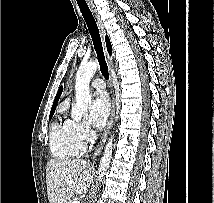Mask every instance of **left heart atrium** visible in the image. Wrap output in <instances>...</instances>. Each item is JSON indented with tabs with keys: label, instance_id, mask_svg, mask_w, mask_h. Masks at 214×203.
Listing matches in <instances>:
<instances>
[{
	"label": "left heart atrium",
	"instance_id": "1",
	"mask_svg": "<svg viewBox=\"0 0 214 203\" xmlns=\"http://www.w3.org/2000/svg\"><path fill=\"white\" fill-rule=\"evenodd\" d=\"M110 113V102L106 93L99 92L93 100L90 111L89 120L95 128H101L105 125Z\"/></svg>",
	"mask_w": 214,
	"mask_h": 203
}]
</instances>
